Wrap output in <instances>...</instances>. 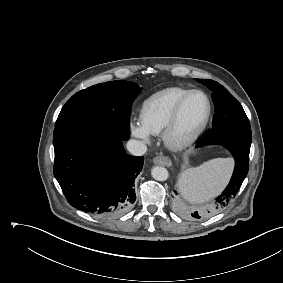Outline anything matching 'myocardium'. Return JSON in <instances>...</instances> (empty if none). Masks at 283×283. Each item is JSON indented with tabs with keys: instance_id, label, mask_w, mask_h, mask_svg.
<instances>
[{
	"instance_id": "myocardium-1",
	"label": "myocardium",
	"mask_w": 283,
	"mask_h": 283,
	"mask_svg": "<svg viewBox=\"0 0 283 283\" xmlns=\"http://www.w3.org/2000/svg\"><path fill=\"white\" fill-rule=\"evenodd\" d=\"M193 94H199L204 97L206 102V112L204 115V118L202 122L199 124V126L188 136L186 137H177L175 134L177 121L179 118L180 111L185 103V101ZM212 106L211 101L208 95L199 89H191L187 91L175 104L170 117L162 131V138L164 141V144L171 150H183L190 145H192L198 137L201 135V133L206 128L210 116H211Z\"/></svg>"
}]
</instances>
